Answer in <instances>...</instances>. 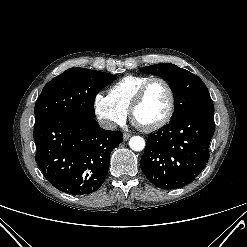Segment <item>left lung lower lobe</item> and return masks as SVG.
Here are the masks:
<instances>
[{"label":"left lung lower lobe","mask_w":247,"mask_h":247,"mask_svg":"<svg viewBox=\"0 0 247 247\" xmlns=\"http://www.w3.org/2000/svg\"><path fill=\"white\" fill-rule=\"evenodd\" d=\"M214 115L190 113L148 135L140 166L156 187L176 189L192 181L209 159Z\"/></svg>","instance_id":"obj_1"}]
</instances>
